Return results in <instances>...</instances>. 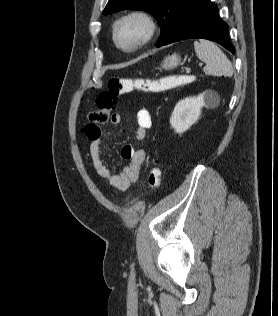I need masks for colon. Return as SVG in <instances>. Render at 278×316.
Returning <instances> with one entry per match:
<instances>
[{
    "mask_svg": "<svg viewBox=\"0 0 278 316\" xmlns=\"http://www.w3.org/2000/svg\"><path fill=\"white\" fill-rule=\"evenodd\" d=\"M190 82H192V77L174 76L163 80L112 78L108 82L107 89L97 95V108L84 115V120L87 122L85 129L93 134L99 130L101 124L108 122L119 95L129 93L133 90L158 92L171 85L187 84ZM161 179V168L158 165L150 168L147 175L149 188L152 190L159 188Z\"/></svg>",
    "mask_w": 278,
    "mask_h": 316,
    "instance_id": "1",
    "label": "colon"
}]
</instances>
